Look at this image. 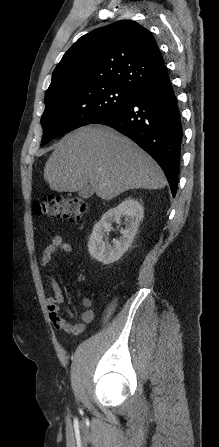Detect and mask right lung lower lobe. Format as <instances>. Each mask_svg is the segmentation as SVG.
<instances>
[{
	"label": "right lung lower lobe",
	"instance_id": "98d812e1",
	"mask_svg": "<svg viewBox=\"0 0 219 447\" xmlns=\"http://www.w3.org/2000/svg\"><path fill=\"white\" fill-rule=\"evenodd\" d=\"M95 123L114 128L149 153L163 169L175 196L183 128L169 77L136 93L130 102L99 117Z\"/></svg>",
	"mask_w": 219,
	"mask_h": 447
}]
</instances>
